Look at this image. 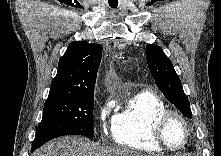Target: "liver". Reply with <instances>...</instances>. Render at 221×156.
Returning a JSON list of instances; mask_svg holds the SVG:
<instances>
[{
	"mask_svg": "<svg viewBox=\"0 0 221 156\" xmlns=\"http://www.w3.org/2000/svg\"><path fill=\"white\" fill-rule=\"evenodd\" d=\"M33 156H145L134 150L94 144L86 137L65 136L57 138L38 149Z\"/></svg>",
	"mask_w": 221,
	"mask_h": 156,
	"instance_id": "6515ba94",
	"label": "liver"
}]
</instances>
